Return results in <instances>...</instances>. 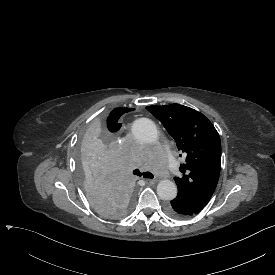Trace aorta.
<instances>
[{
    "mask_svg": "<svg viewBox=\"0 0 275 275\" xmlns=\"http://www.w3.org/2000/svg\"><path fill=\"white\" fill-rule=\"evenodd\" d=\"M133 135L142 142H154L158 138V130L154 122L148 118H139L132 126ZM157 194L162 200H173L177 196L174 182L165 179L157 185Z\"/></svg>",
    "mask_w": 275,
    "mask_h": 275,
    "instance_id": "aorta-1",
    "label": "aorta"
}]
</instances>
